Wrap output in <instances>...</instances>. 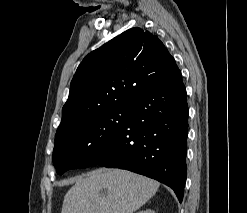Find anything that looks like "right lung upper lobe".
Segmentation results:
<instances>
[{
    "label": "right lung upper lobe",
    "mask_w": 247,
    "mask_h": 213,
    "mask_svg": "<svg viewBox=\"0 0 247 213\" xmlns=\"http://www.w3.org/2000/svg\"><path fill=\"white\" fill-rule=\"evenodd\" d=\"M178 69L159 38L129 29L89 53L78 66L55 137L129 101Z\"/></svg>",
    "instance_id": "right-lung-upper-lobe-1"
}]
</instances>
